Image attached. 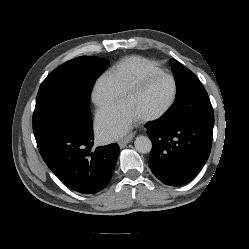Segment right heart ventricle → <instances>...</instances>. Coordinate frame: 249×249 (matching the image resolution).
Returning <instances> with one entry per match:
<instances>
[{"mask_svg": "<svg viewBox=\"0 0 249 249\" xmlns=\"http://www.w3.org/2000/svg\"><path fill=\"white\" fill-rule=\"evenodd\" d=\"M160 71L162 69L155 62L141 56H130L121 60L110 74L118 86L126 91L132 83L143 75Z\"/></svg>", "mask_w": 249, "mask_h": 249, "instance_id": "obj_1", "label": "right heart ventricle"}]
</instances>
